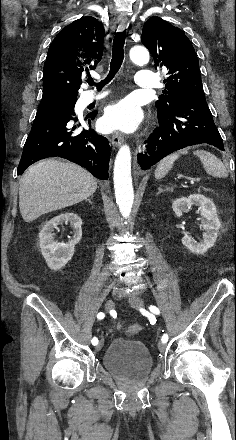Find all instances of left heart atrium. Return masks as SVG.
<instances>
[{
    "instance_id": "1",
    "label": "left heart atrium",
    "mask_w": 236,
    "mask_h": 440,
    "mask_svg": "<svg viewBox=\"0 0 236 440\" xmlns=\"http://www.w3.org/2000/svg\"><path fill=\"white\" fill-rule=\"evenodd\" d=\"M138 124L137 108L130 100H121L110 106L103 118L107 130L133 131Z\"/></svg>"
}]
</instances>
